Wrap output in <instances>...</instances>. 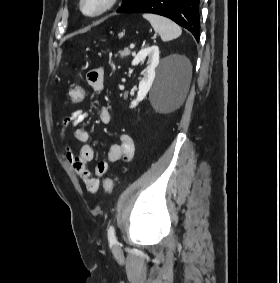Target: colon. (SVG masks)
Here are the masks:
<instances>
[{
    "mask_svg": "<svg viewBox=\"0 0 280 283\" xmlns=\"http://www.w3.org/2000/svg\"><path fill=\"white\" fill-rule=\"evenodd\" d=\"M86 92H89V87H86V84L83 82L73 84L71 90H68L70 105H81V102H85L87 98ZM113 185V179L111 177L106 178L104 181V192L106 194L111 193Z\"/></svg>",
    "mask_w": 280,
    "mask_h": 283,
    "instance_id": "1",
    "label": "colon"
}]
</instances>
